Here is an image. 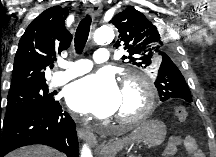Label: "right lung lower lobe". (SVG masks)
<instances>
[{
	"label": "right lung lower lobe",
	"instance_id": "1",
	"mask_svg": "<svg viewBox=\"0 0 216 157\" xmlns=\"http://www.w3.org/2000/svg\"><path fill=\"white\" fill-rule=\"evenodd\" d=\"M29 144L48 145L67 157H79L75 123L58 101L0 123V157Z\"/></svg>",
	"mask_w": 216,
	"mask_h": 157
}]
</instances>
